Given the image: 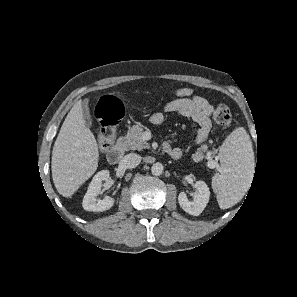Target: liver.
<instances>
[{
	"instance_id": "1",
	"label": "liver",
	"mask_w": 297,
	"mask_h": 297,
	"mask_svg": "<svg viewBox=\"0 0 297 297\" xmlns=\"http://www.w3.org/2000/svg\"><path fill=\"white\" fill-rule=\"evenodd\" d=\"M98 158L97 141L86 127L79 100L63 122L52 151V178L58 193L72 196L95 173Z\"/></svg>"
}]
</instances>
